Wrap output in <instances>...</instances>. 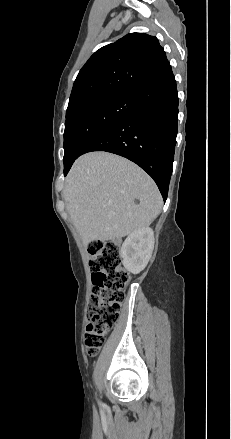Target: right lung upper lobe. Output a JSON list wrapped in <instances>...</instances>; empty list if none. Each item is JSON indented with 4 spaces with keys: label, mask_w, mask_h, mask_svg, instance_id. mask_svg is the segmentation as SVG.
Listing matches in <instances>:
<instances>
[{
    "label": "right lung upper lobe",
    "mask_w": 231,
    "mask_h": 439,
    "mask_svg": "<svg viewBox=\"0 0 231 439\" xmlns=\"http://www.w3.org/2000/svg\"><path fill=\"white\" fill-rule=\"evenodd\" d=\"M171 71L156 37L130 33L90 57L74 82L67 110L100 95L135 93Z\"/></svg>",
    "instance_id": "obj_1"
}]
</instances>
